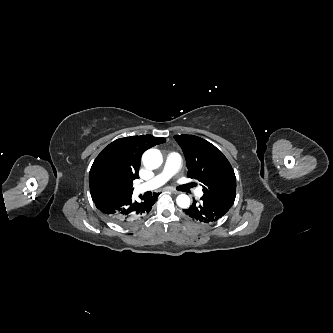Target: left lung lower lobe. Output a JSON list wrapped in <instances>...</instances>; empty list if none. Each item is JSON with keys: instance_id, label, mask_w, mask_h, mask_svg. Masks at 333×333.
<instances>
[{"instance_id": "1", "label": "left lung lower lobe", "mask_w": 333, "mask_h": 333, "mask_svg": "<svg viewBox=\"0 0 333 333\" xmlns=\"http://www.w3.org/2000/svg\"><path fill=\"white\" fill-rule=\"evenodd\" d=\"M233 203L230 201L216 199L203 195L201 202L194 201L190 208L183 210L191 218L200 222H215L231 208Z\"/></svg>"}]
</instances>
